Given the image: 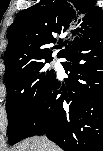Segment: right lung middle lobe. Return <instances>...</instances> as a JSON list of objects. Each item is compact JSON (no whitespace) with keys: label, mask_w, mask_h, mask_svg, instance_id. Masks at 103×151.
<instances>
[{"label":"right lung middle lobe","mask_w":103,"mask_h":151,"mask_svg":"<svg viewBox=\"0 0 103 151\" xmlns=\"http://www.w3.org/2000/svg\"><path fill=\"white\" fill-rule=\"evenodd\" d=\"M45 62L29 65L5 80L7 88L8 140L13 145L20 141L26 126L40 106L45 92L56 78Z\"/></svg>","instance_id":"dd1d6c3e"}]
</instances>
